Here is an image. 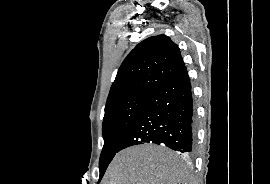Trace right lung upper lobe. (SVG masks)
I'll return each mask as SVG.
<instances>
[{"mask_svg":"<svg viewBox=\"0 0 270 184\" xmlns=\"http://www.w3.org/2000/svg\"><path fill=\"white\" fill-rule=\"evenodd\" d=\"M184 67L180 50L169 37L158 35L147 38L123 61L107 103L133 95L150 96Z\"/></svg>","mask_w":270,"mask_h":184,"instance_id":"right-lung-upper-lobe-1","label":"right lung upper lobe"}]
</instances>
